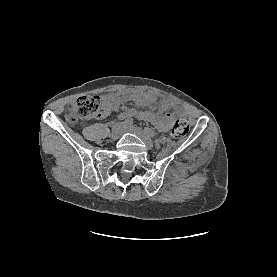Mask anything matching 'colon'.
<instances>
[{"mask_svg":"<svg viewBox=\"0 0 277 277\" xmlns=\"http://www.w3.org/2000/svg\"><path fill=\"white\" fill-rule=\"evenodd\" d=\"M101 104L95 96H80L73 101L68 108L66 118L70 122H77L82 120H90L98 118L101 115ZM189 131V123L186 119H178L173 125L172 136L175 138H182L186 136Z\"/></svg>","mask_w":277,"mask_h":277,"instance_id":"1","label":"colon"}]
</instances>
